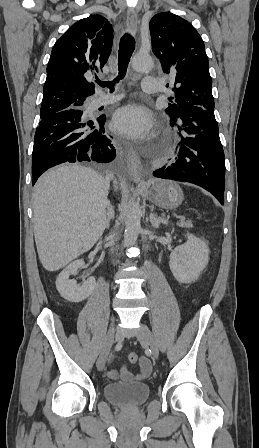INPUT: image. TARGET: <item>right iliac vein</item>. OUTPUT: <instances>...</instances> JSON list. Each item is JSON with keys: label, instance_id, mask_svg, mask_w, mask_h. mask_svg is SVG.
Listing matches in <instances>:
<instances>
[{"label": "right iliac vein", "instance_id": "63e3f726", "mask_svg": "<svg viewBox=\"0 0 259 448\" xmlns=\"http://www.w3.org/2000/svg\"><path fill=\"white\" fill-rule=\"evenodd\" d=\"M114 322H115V318L114 316L111 317V324L108 330V333L106 335L105 341H104V345L103 348L101 350L100 356L97 360V369L99 371L104 369L106 360L108 358V355L110 353V350L112 348L113 342H114Z\"/></svg>", "mask_w": 259, "mask_h": 448}]
</instances>
